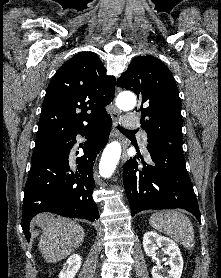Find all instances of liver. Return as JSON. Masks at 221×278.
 I'll use <instances>...</instances> for the list:
<instances>
[{"label":"liver","instance_id":"1","mask_svg":"<svg viewBox=\"0 0 221 278\" xmlns=\"http://www.w3.org/2000/svg\"><path fill=\"white\" fill-rule=\"evenodd\" d=\"M33 223L42 229L39 250L48 263L66 258L84 241V229L70 219L39 214Z\"/></svg>","mask_w":221,"mask_h":278}]
</instances>
